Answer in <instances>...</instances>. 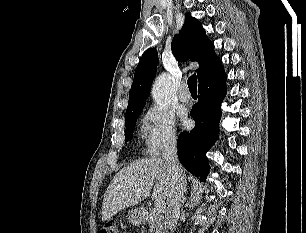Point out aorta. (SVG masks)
<instances>
[{"instance_id": "1", "label": "aorta", "mask_w": 306, "mask_h": 233, "mask_svg": "<svg viewBox=\"0 0 306 233\" xmlns=\"http://www.w3.org/2000/svg\"><path fill=\"white\" fill-rule=\"evenodd\" d=\"M152 96L160 109H166L172 101L171 80L167 73L159 75L152 87Z\"/></svg>"}]
</instances>
